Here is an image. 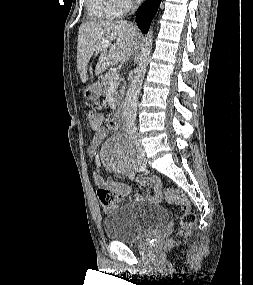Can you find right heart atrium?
<instances>
[{
  "instance_id": "obj_1",
  "label": "right heart atrium",
  "mask_w": 253,
  "mask_h": 285,
  "mask_svg": "<svg viewBox=\"0 0 253 285\" xmlns=\"http://www.w3.org/2000/svg\"><path fill=\"white\" fill-rule=\"evenodd\" d=\"M123 9H129L135 2V0H119Z\"/></svg>"
}]
</instances>
